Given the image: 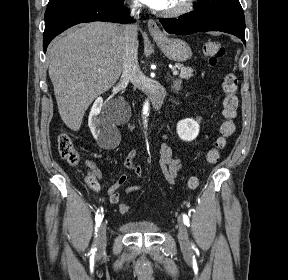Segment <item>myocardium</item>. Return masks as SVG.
Masks as SVG:
<instances>
[{
    "mask_svg": "<svg viewBox=\"0 0 288 280\" xmlns=\"http://www.w3.org/2000/svg\"><path fill=\"white\" fill-rule=\"evenodd\" d=\"M195 2L196 0H184L180 6L171 10H165L162 14L169 18H177L183 16L193 9Z\"/></svg>",
    "mask_w": 288,
    "mask_h": 280,
    "instance_id": "myocardium-1",
    "label": "myocardium"
}]
</instances>
